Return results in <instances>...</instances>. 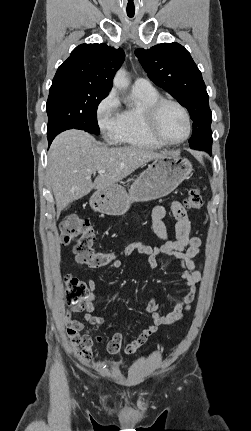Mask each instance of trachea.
Segmentation results:
<instances>
[{
  "label": "trachea",
  "instance_id": "1",
  "mask_svg": "<svg viewBox=\"0 0 251 431\" xmlns=\"http://www.w3.org/2000/svg\"><path fill=\"white\" fill-rule=\"evenodd\" d=\"M129 17H133V15H129Z\"/></svg>",
  "mask_w": 251,
  "mask_h": 431
}]
</instances>
